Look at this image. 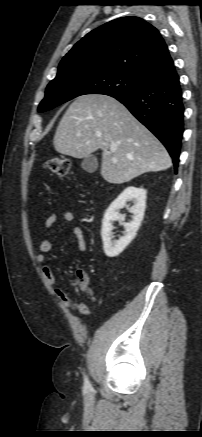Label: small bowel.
I'll list each match as a JSON object with an SVG mask.
<instances>
[{
    "instance_id": "1",
    "label": "small bowel",
    "mask_w": 202,
    "mask_h": 437,
    "mask_svg": "<svg viewBox=\"0 0 202 437\" xmlns=\"http://www.w3.org/2000/svg\"><path fill=\"white\" fill-rule=\"evenodd\" d=\"M62 218L65 222H72L74 220V213L69 209H64L62 211ZM56 221H57V214L55 212H51L48 215V217L45 219L43 229L44 230L50 229L56 223ZM72 234L75 236L77 240L78 249L81 252L86 251V242H85L83 230L80 227L75 226L72 228ZM51 249H52V242L50 238L48 237L43 238L39 244V252L36 255V261L37 263L42 265V271L46 282L53 287L56 283L55 275L53 273L51 266L46 263V255ZM85 279L88 284L87 277H85ZM55 292L67 308L76 309L80 314L84 316H88L90 314V309L86 304L72 301L63 289L57 288Z\"/></svg>"
}]
</instances>
